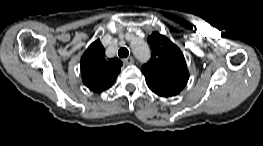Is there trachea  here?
<instances>
[{
	"label": "trachea",
	"mask_w": 263,
	"mask_h": 146,
	"mask_svg": "<svg viewBox=\"0 0 263 146\" xmlns=\"http://www.w3.org/2000/svg\"><path fill=\"white\" fill-rule=\"evenodd\" d=\"M129 55V51L127 48H121L119 51H118V56L120 58L122 57H127Z\"/></svg>",
	"instance_id": "3493384b"
}]
</instances>
